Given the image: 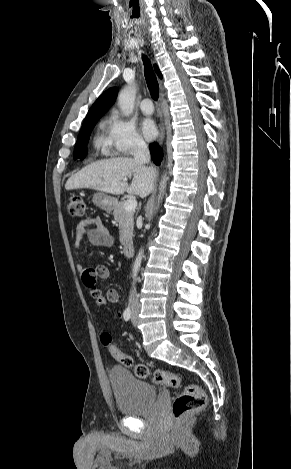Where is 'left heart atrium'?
Wrapping results in <instances>:
<instances>
[{"mask_svg": "<svg viewBox=\"0 0 291 469\" xmlns=\"http://www.w3.org/2000/svg\"><path fill=\"white\" fill-rule=\"evenodd\" d=\"M141 129H142V132H143L144 136L148 140L154 139L157 135V128H156L154 122L150 119H146L142 122Z\"/></svg>", "mask_w": 291, "mask_h": 469, "instance_id": "1", "label": "left heart atrium"}]
</instances>
